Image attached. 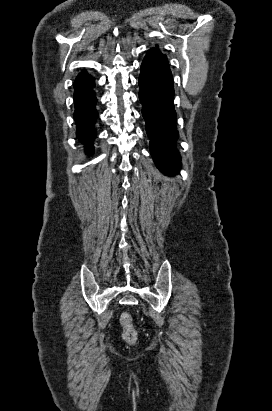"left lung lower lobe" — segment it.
<instances>
[{"label": "left lung lower lobe", "mask_w": 272, "mask_h": 411, "mask_svg": "<svg viewBox=\"0 0 272 411\" xmlns=\"http://www.w3.org/2000/svg\"><path fill=\"white\" fill-rule=\"evenodd\" d=\"M139 99L156 166L166 175L179 173L181 157L176 148L173 77L168 60L159 50H148L139 77Z\"/></svg>", "instance_id": "1"}]
</instances>
